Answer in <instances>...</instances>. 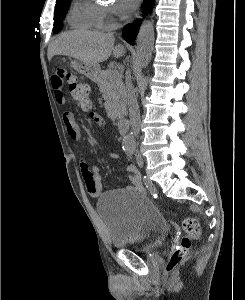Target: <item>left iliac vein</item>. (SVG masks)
Here are the masks:
<instances>
[{
  "mask_svg": "<svg viewBox=\"0 0 245 300\" xmlns=\"http://www.w3.org/2000/svg\"><path fill=\"white\" fill-rule=\"evenodd\" d=\"M136 160H137V164H138L139 167H142L144 165V160H143V157H142L141 154L137 155Z\"/></svg>",
  "mask_w": 245,
  "mask_h": 300,
  "instance_id": "left-iliac-vein-1",
  "label": "left iliac vein"
}]
</instances>
